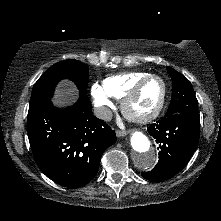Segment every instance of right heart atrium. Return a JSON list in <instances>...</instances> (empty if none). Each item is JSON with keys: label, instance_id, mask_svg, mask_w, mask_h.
Wrapping results in <instances>:
<instances>
[{"label": "right heart atrium", "instance_id": "d8ad5b80", "mask_svg": "<svg viewBox=\"0 0 221 221\" xmlns=\"http://www.w3.org/2000/svg\"><path fill=\"white\" fill-rule=\"evenodd\" d=\"M91 96L98 115L103 119H107L110 115L112 101L110 96L104 90L103 86L99 84H93L91 86Z\"/></svg>", "mask_w": 221, "mask_h": 221}]
</instances>
